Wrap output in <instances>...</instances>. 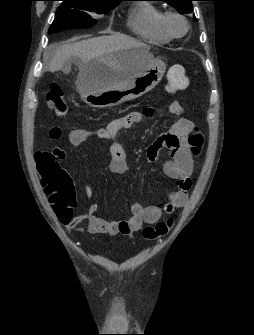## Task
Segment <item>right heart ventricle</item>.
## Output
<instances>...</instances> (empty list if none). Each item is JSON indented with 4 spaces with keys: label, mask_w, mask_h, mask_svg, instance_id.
<instances>
[{
    "label": "right heart ventricle",
    "mask_w": 254,
    "mask_h": 335,
    "mask_svg": "<svg viewBox=\"0 0 254 335\" xmlns=\"http://www.w3.org/2000/svg\"><path fill=\"white\" fill-rule=\"evenodd\" d=\"M163 11L151 3L134 5L127 17L128 28L138 37L152 43H168L171 38L160 26Z\"/></svg>",
    "instance_id": "right-heart-ventricle-1"
}]
</instances>
